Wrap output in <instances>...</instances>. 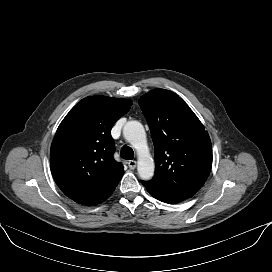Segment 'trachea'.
<instances>
[{
	"instance_id": "obj_1",
	"label": "trachea",
	"mask_w": 272,
	"mask_h": 272,
	"mask_svg": "<svg viewBox=\"0 0 272 272\" xmlns=\"http://www.w3.org/2000/svg\"><path fill=\"white\" fill-rule=\"evenodd\" d=\"M120 156H121V158L126 159V160L133 159V157H134L133 149L129 146H124L121 149Z\"/></svg>"
}]
</instances>
